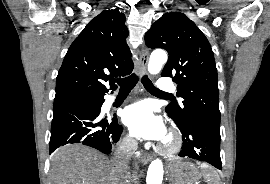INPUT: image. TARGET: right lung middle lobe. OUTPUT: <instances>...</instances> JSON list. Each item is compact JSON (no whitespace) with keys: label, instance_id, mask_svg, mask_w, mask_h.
Segmentation results:
<instances>
[{"label":"right lung middle lobe","instance_id":"obj_1","mask_svg":"<svg viewBox=\"0 0 270 184\" xmlns=\"http://www.w3.org/2000/svg\"><path fill=\"white\" fill-rule=\"evenodd\" d=\"M73 97H78V96H67V97H61V98H55L54 100H59V99H64V98H73Z\"/></svg>","mask_w":270,"mask_h":184}]
</instances>
